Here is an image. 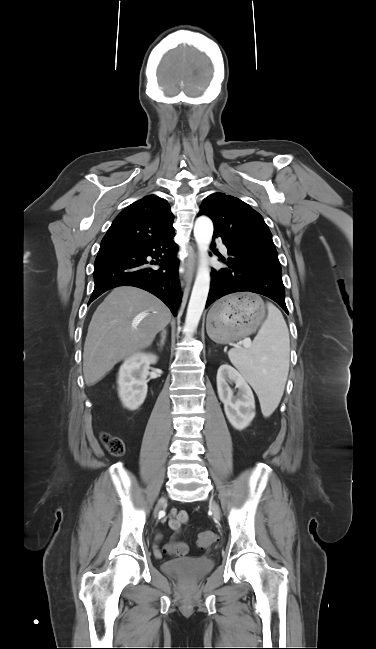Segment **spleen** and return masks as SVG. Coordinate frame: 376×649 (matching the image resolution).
I'll list each match as a JSON object with an SVG mask.
<instances>
[{
    "label": "spleen",
    "mask_w": 376,
    "mask_h": 649,
    "mask_svg": "<svg viewBox=\"0 0 376 649\" xmlns=\"http://www.w3.org/2000/svg\"><path fill=\"white\" fill-rule=\"evenodd\" d=\"M268 316L250 349L233 348L228 356L256 391L264 416L277 408L289 371L290 340L281 311L267 303Z\"/></svg>",
    "instance_id": "3e777b00"
}]
</instances>
